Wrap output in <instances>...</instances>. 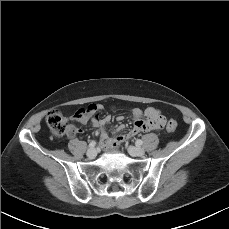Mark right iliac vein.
I'll list each match as a JSON object with an SVG mask.
<instances>
[{
    "mask_svg": "<svg viewBox=\"0 0 229 229\" xmlns=\"http://www.w3.org/2000/svg\"><path fill=\"white\" fill-rule=\"evenodd\" d=\"M97 155V150L95 148H90L87 151V156L91 159L95 158Z\"/></svg>",
    "mask_w": 229,
    "mask_h": 229,
    "instance_id": "63e3f726",
    "label": "right iliac vein"
}]
</instances>
